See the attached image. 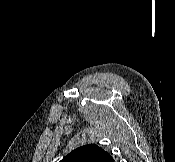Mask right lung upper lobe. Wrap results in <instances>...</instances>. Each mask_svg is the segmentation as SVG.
<instances>
[{
    "label": "right lung upper lobe",
    "instance_id": "1",
    "mask_svg": "<svg viewBox=\"0 0 175 162\" xmlns=\"http://www.w3.org/2000/svg\"><path fill=\"white\" fill-rule=\"evenodd\" d=\"M60 162H114V160L97 145L87 144L74 149Z\"/></svg>",
    "mask_w": 175,
    "mask_h": 162
}]
</instances>
